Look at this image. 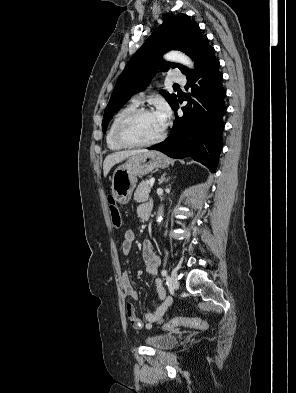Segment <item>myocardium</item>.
<instances>
[{
    "mask_svg": "<svg viewBox=\"0 0 296 393\" xmlns=\"http://www.w3.org/2000/svg\"><path fill=\"white\" fill-rule=\"evenodd\" d=\"M151 112H153V110H151L150 108L139 107V108H135L132 111H130L129 113H127L120 120V122L117 125L116 133H115L117 141L121 145H123L125 147H129V148L147 147V146H151V145H154V144L160 142L165 136V129H163L162 132L157 137H155L149 141H145V142L132 141L126 135V131H127L128 126L137 117H139L142 114L151 113Z\"/></svg>",
    "mask_w": 296,
    "mask_h": 393,
    "instance_id": "1",
    "label": "myocardium"
}]
</instances>
